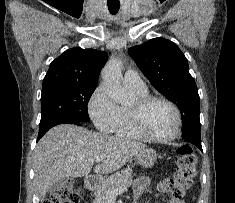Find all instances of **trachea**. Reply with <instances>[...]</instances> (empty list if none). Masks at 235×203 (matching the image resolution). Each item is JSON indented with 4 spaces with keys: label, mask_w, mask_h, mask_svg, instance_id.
<instances>
[{
    "label": "trachea",
    "mask_w": 235,
    "mask_h": 203,
    "mask_svg": "<svg viewBox=\"0 0 235 203\" xmlns=\"http://www.w3.org/2000/svg\"><path fill=\"white\" fill-rule=\"evenodd\" d=\"M119 8H120V4H113V5L108 4V9H109L110 13L113 15L118 13Z\"/></svg>",
    "instance_id": "3493384b"
}]
</instances>
